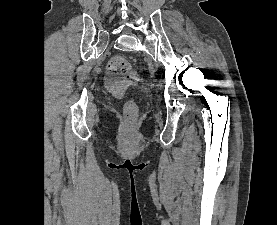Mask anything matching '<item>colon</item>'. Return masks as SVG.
Wrapping results in <instances>:
<instances>
[{
  "mask_svg": "<svg viewBox=\"0 0 277 225\" xmlns=\"http://www.w3.org/2000/svg\"><path fill=\"white\" fill-rule=\"evenodd\" d=\"M110 72L125 76L128 83L132 84L137 80V72L134 70L124 55H115L108 62ZM123 114L126 120L133 123L138 115V107L133 101L125 102Z\"/></svg>",
  "mask_w": 277,
  "mask_h": 225,
  "instance_id": "obj_1",
  "label": "colon"
}]
</instances>
